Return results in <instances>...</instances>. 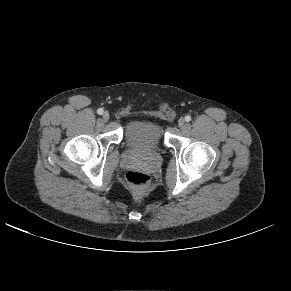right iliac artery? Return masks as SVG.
<instances>
[{
	"label": "right iliac artery",
	"mask_w": 291,
	"mask_h": 291,
	"mask_svg": "<svg viewBox=\"0 0 291 291\" xmlns=\"http://www.w3.org/2000/svg\"><path fill=\"white\" fill-rule=\"evenodd\" d=\"M97 113H98L99 115H102V114H103V109H102V108H99V109L97 110Z\"/></svg>",
	"instance_id": "obj_1"
}]
</instances>
